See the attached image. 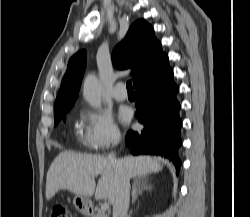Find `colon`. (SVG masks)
Masks as SVG:
<instances>
[{
    "label": "colon",
    "instance_id": "obj_1",
    "mask_svg": "<svg viewBox=\"0 0 250 217\" xmlns=\"http://www.w3.org/2000/svg\"><path fill=\"white\" fill-rule=\"evenodd\" d=\"M50 217H72V214L67 206L57 204L52 207Z\"/></svg>",
    "mask_w": 250,
    "mask_h": 217
}]
</instances>
